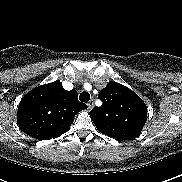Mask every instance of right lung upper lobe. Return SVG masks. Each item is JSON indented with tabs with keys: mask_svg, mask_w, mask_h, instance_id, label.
<instances>
[{
	"mask_svg": "<svg viewBox=\"0 0 182 182\" xmlns=\"http://www.w3.org/2000/svg\"><path fill=\"white\" fill-rule=\"evenodd\" d=\"M77 97L76 90L66 91L60 81L39 86L21 99L17 123L32 138L59 137L69 131L75 115L87 108Z\"/></svg>",
	"mask_w": 182,
	"mask_h": 182,
	"instance_id": "1",
	"label": "right lung upper lobe"
}]
</instances>
